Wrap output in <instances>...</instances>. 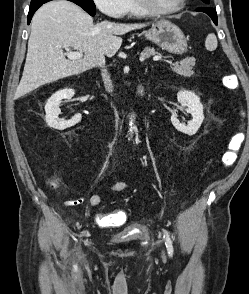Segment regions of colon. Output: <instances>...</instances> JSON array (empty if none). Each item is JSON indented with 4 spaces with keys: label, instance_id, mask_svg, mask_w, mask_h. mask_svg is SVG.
<instances>
[{
    "label": "colon",
    "instance_id": "colon-1",
    "mask_svg": "<svg viewBox=\"0 0 249 294\" xmlns=\"http://www.w3.org/2000/svg\"><path fill=\"white\" fill-rule=\"evenodd\" d=\"M223 84L224 86L230 90V91H234L236 90V86L232 81V78L230 76L225 75L223 77ZM242 142V136L240 133H236L233 138L232 141L230 143V150L227 151L226 153H224L223 157H222V163L224 166L229 167L233 164L234 160H235V153L236 151L239 149L240 143ZM51 185L55 186L57 183L56 179H52L51 180ZM111 224L113 222V220L110 221Z\"/></svg>",
    "mask_w": 249,
    "mask_h": 294
}]
</instances>
